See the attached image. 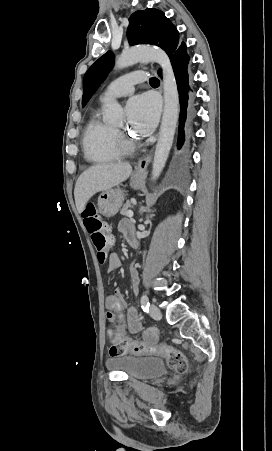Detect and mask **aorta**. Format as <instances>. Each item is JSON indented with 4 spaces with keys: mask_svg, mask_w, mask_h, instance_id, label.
I'll return each instance as SVG.
<instances>
[{
    "mask_svg": "<svg viewBox=\"0 0 272 451\" xmlns=\"http://www.w3.org/2000/svg\"><path fill=\"white\" fill-rule=\"evenodd\" d=\"M157 62L163 70V96L164 110L159 132V140L156 144V150L153 160V180L159 178L172 148L179 114V94L177 84L171 66V62L164 50L160 48H130L122 52L121 56L115 62V70H123L128 66H133L137 62ZM104 116L106 124H115L122 122L124 118L123 110L116 100L108 104Z\"/></svg>",
    "mask_w": 272,
    "mask_h": 451,
    "instance_id": "762f6f07",
    "label": "aorta"
}]
</instances>
